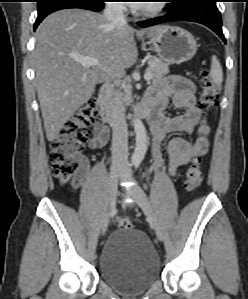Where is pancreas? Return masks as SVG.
I'll return each mask as SVG.
<instances>
[{
    "mask_svg": "<svg viewBox=\"0 0 248 299\" xmlns=\"http://www.w3.org/2000/svg\"><path fill=\"white\" fill-rule=\"evenodd\" d=\"M149 67L146 72L151 74V79H158L169 73V66L167 63L158 58H150L148 60ZM121 88L125 91L124 102L129 105L132 100L129 96L131 87L130 85L123 84Z\"/></svg>",
    "mask_w": 248,
    "mask_h": 299,
    "instance_id": "obj_1",
    "label": "pancreas"
}]
</instances>
